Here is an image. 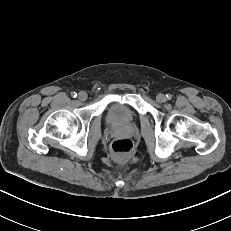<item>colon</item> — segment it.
Masks as SVG:
<instances>
[{
    "label": "colon",
    "mask_w": 231,
    "mask_h": 231,
    "mask_svg": "<svg viewBox=\"0 0 231 231\" xmlns=\"http://www.w3.org/2000/svg\"><path fill=\"white\" fill-rule=\"evenodd\" d=\"M114 156L120 160L126 159L133 150V142L128 138L116 139L111 145Z\"/></svg>",
    "instance_id": "colon-1"
}]
</instances>
